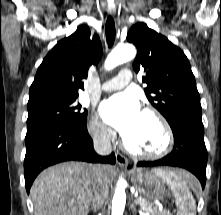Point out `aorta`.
Returning <instances> with one entry per match:
<instances>
[{
	"label": "aorta",
	"mask_w": 221,
	"mask_h": 215,
	"mask_svg": "<svg viewBox=\"0 0 221 215\" xmlns=\"http://www.w3.org/2000/svg\"><path fill=\"white\" fill-rule=\"evenodd\" d=\"M135 55L136 49L132 44L117 45L107 56L104 67L106 70H112L116 66L132 60ZM125 185L126 181L123 178H120L117 182L112 200L111 215H123L126 203Z\"/></svg>",
	"instance_id": "aorta-1"
}]
</instances>
